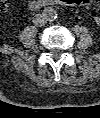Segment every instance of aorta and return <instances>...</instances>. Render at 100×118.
I'll list each match as a JSON object with an SVG mask.
<instances>
[{"instance_id": "obj_1", "label": "aorta", "mask_w": 100, "mask_h": 118, "mask_svg": "<svg viewBox=\"0 0 100 118\" xmlns=\"http://www.w3.org/2000/svg\"><path fill=\"white\" fill-rule=\"evenodd\" d=\"M42 14L44 15L47 21H54L57 19L58 16L56 9L52 7H46L43 10Z\"/></svg>"}]
</instances>
